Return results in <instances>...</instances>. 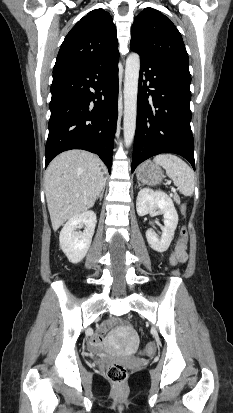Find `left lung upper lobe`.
<instances>
[{
	"instance_id": "obj_1",
	"label": "left lung upper lobe",
	"mask_w": 233,
	"mask_h": 413,
	"mask_svg": "<svg viewBox=\"0 0 233 413\" xmlns=\"http://www.w3.org/2000/svg\"><path fill=\"white\" fill-rule=\"evenodd\" d=\"M131 49L191 79L188 54L180 32L162 13L146 8L135 18Z\"/></svg>"
}]
</instances>
